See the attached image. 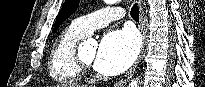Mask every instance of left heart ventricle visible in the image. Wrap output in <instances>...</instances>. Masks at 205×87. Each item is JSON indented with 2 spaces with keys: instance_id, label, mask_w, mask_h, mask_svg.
<instances>
[{
  "instance_id": "1",
  "label": "left heart ventricle",
  "mask_w": 205,
  "mask_h": 87,
  "mask_svg": "<svg viewBox=\"0 0 205 87\" xmlns=\"http://www.w3.org/2000/svg\"><path fill=\"white\" fill-rule=\"evenodd\" d=\"M96 54H97L96 48H93L90 50H84V51L80 52L82 59L90 65L93 64L95 57H96Z\"/></svg>"
}]
</instances>
